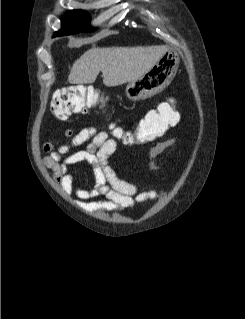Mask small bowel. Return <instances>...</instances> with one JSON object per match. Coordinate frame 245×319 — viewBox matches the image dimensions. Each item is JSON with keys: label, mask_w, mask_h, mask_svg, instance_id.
<instances>
[{"label": "small bowel", "mask_w": 245, "mask_h": 319, "mask_svg": "<svg viewBox=\"0 0 245 319\" xmlns=\"http://www.w3.org/2000/svg\"><path fill=\"white\" fill-rule=\"evenodd\" d=\"M165 105L171 104L163 103L159 107ZM63 138L67 140V143H62L59 139H51L44 144L43 151L47 155L43 158V163L52 171L53 180L67 194L75 192L78 204L84 210L117 212L130 208L136 203L153 201L159 197L157 190L139 192L135 184L116 174L108 163V159L116 152L117 142L109 137L107 132L99 131L95 127H86L78 132L66 129ZM174 143V139H166L150 149L148 167L151 171H158L155 158ZM85 144L84 149H79ZM79 163L88 164L94 174L95 184L92 190L75 185V177L69 172V167ZM98 196L105 199L86 201Z\"/></svg>", "instance_id": "1"}]
</instances>
